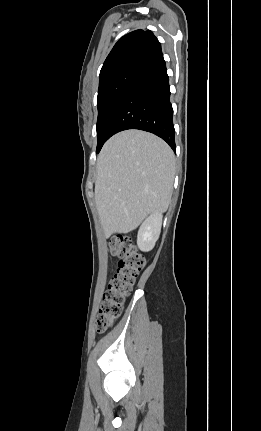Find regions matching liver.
<instances>
[{"instance_id": "1", "label": "liver", "mask_w": 261, "mask_h": 431, "mask_svg": "<svg viewBox=\"0 0 261 431\" xmlns=\"http://www.w3.org/2000/svg\"><path fill=\"white\" fill-rule=\"evenodd\" d=\"M175 157L159 137L140 130L112 136L97 159L95 202L105 237L128 233L167 210Z\"/></svg>"}]
</instances>
